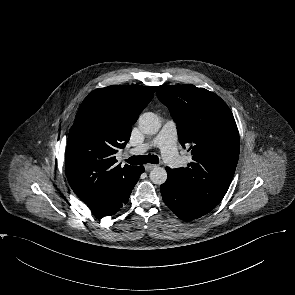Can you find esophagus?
<instances>
[{"label":"esophagus","instance_id":"obj_1","mask_svg":"<svg viewBox=\"0 0 295 295\" xmlns=\"http://www.w3.org/2000/svg\"><path fill=\"white\" fill-rule=\"evenodd\" d=\"M155 167H157V165H154V164H146V165H145V169H146L147 171H150V170H152V169L155 168Z\"/></svg>","mask_w":295,"mask_h":295}]
</instances>
